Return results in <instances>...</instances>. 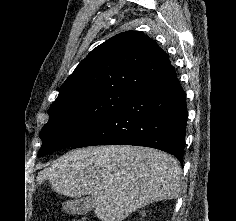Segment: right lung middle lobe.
<instances>
[{
  "mask_svg": "<svg viewBox=\"0 0 236 221\" xmlns=\"http://www.w3.org/2000/svg\"><path fill=\"white\" fill-rule=\"evenodd\" d=\"M136 92L115 88L51 106L48 111L49 121L39 135L42 146L38 156L74 145Z\"/></svg>",
  "mask_w": 236,
  "mask_h": 221,
  "instance_id": "1",
  "label": "right lung middle lobe"
}]
</instances>
